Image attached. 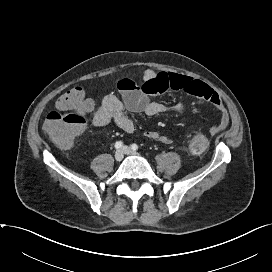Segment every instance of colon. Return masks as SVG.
Wrapping results in <instances>:
<instances>
[{
	"mask_svg": "<svg viewBox=\"0 0 272 272\" xmlns=\"http://www.w3.org/2000/svg\"><path fill=\"white\" fill-rule=\"evenodd\" d=\"M93 101L86 97L83 89L75 87L57 100V111L50 112L44 122V130L59 146H70L82 132L85 116L93 109ZM208 139L202 134L194 136L190 149L195 154L205 151Z\"/></svg>",
	"mask_w": 272,
	"mask_h": 272,
	"instance_id": "1",
	"label": "colon"
}]
</instances>
